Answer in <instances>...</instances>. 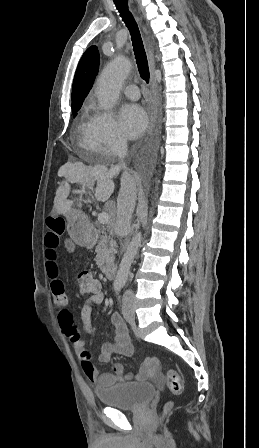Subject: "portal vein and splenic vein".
<instances>
[{
  "label": "portal vein and splenic vein",
  "mask_w": 259,
  "mask_h": 448,
  "mask_svg": "<svg viewBox=\"0 0 259 448\" xmlns=\"http://www.w3.org/2000/svg\"><path fill=\"white\" fill-rule=\"evenodd\" d=\"M110 220V216L109 214H106V212H103V214H99L98 216V222H100V224H108Z\"/></svg>",
  "instance_id": "1"
}]
</instances>
